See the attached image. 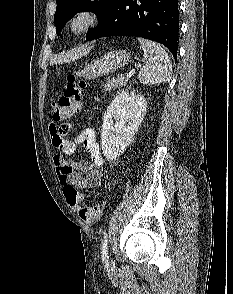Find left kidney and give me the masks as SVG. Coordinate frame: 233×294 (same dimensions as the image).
Here are the masks:
<instances>
[{
    "label": "left kidney",
    "mask_w": 233,
    "mask_h": 294,
    "mask_svg": "<svg viewBox=\"0 0 233 294\" xmlns=\"http://www.w3.org/2000/svg\"><path fill=\"white\" fill-rule=\"evenodd\" d=\"M147 108L145 98L133 91L119 93L103 117L101 147L107 160L123 154L143 120ZM113 119L117 120L114 124Z\"/></svg>",
    "instance_id": "5707ae66"
}]
</instances>
